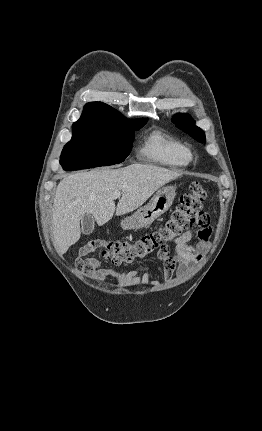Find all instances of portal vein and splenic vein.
Returning <instances> with one entry per match:
<instances>
[{
	"label": "portal vein and splenic vein",
	"mask_w": 262,
	"mask_h": 431,
	"mask_svg": "<svg viewBox=\"0 0 262 431\" xmlns=\"http://www.w3.org/2000/svg\"><path fill=\"white\" fill-rule=\"evenodd\" d=\"M121 196V192H114L113 194H112V198L114 199V198H119Z\"/></svg>",
	"instance_id": "portal-vein-and-splenic-vein-1"
}]
</instances>
